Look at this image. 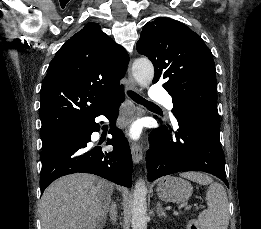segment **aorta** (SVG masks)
<instances>
[{"label":"aorta","mask_w":261,"mask_h":229,"mask_svg":"<svg viewBox=\"0 0 261 229\" xmlns=\"http://www.w3.org/2000/svg\"><path fill=\"white\" fill-rule=\"evenodd\" d=\"M132 74L140 86H149L154 76V66L149 58H136L132 64ZM148 189L143 179H138L133 193L132 201V229H147V203Z\"/></svg>","instance_id":"aorta-1"}]
</instances>
